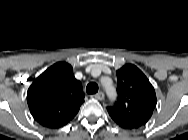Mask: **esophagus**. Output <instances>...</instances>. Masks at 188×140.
Segmentation results:
<instances>
[{
  "label": "esophagus",
  "instance_id": "1",
  "mask_svg": "<svg viewBox=\"0 0 188 140\" xmlns=\"http://www.w3.org/2000/svg\"><path fill=\"white\" fill-rule=\"evenodd\" d=\"M94 97L98 100H103L105 95L103 92H98L97 94L94 95Z\"/></svg>",
  "mask_w": 188,
  "mask_h": 140
}]
</instances>
